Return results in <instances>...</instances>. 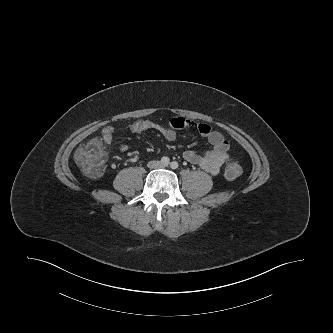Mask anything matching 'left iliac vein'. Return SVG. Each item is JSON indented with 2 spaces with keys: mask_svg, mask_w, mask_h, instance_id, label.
<instances>
[{
  "mask_svg": "<svg viewBox=\"0 0 333 333\" xmlns=\"http://www.w3.org/2000/svg\"><path fill=\"white\" fill-rule=\"evenodd\" d=\"M160 167H161V168H164V167H166V166H165V165H161Z\"/></svg>",
  "mask_w": 333,
  "mask_h": 333,
  "instance_id": "left-iliac-vein-1",
  "label": "left iliac vein"
}]
</instances>
